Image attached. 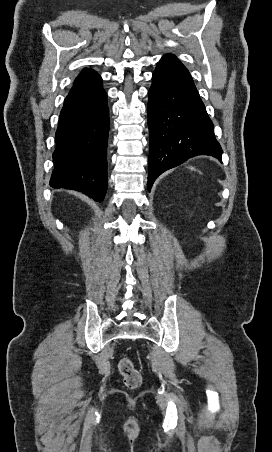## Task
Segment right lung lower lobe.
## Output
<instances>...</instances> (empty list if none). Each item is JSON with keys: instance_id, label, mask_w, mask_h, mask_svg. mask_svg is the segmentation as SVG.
Masks as SVG:
<instances>
[{"instance_id": "right-lung-lower-lobe-1", "label": "right lung lower lobe", "mask_w": 272, "mask_h": 452, "mask_svg": "<svg viewBox=\"0 0 272 452\" xmlns=\"http://www.w3.org/2000/svg\"><path fill=\"white\" fill-rule=\"evenodd\" d=\"M108 131L107 94L101 77L74 84L60 113L50 186L103 201L108 187Z\"/></svg>"}]
</instances>
